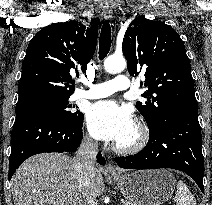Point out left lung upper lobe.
<instances>
[{
	"instance_id": "obj_1",
	"label": "left lung upper lobe",
	"mask_w": 212,
	"mask_h": 205,
	"mask_svg": "<svg viewBox=\"0 0 212 205\" xmlns=\"http://www.w3.org/2000/svg\"><path fill=\"white\" fill-rule=\"evenodd\" d=\"M122 50L130 75L145 73L143 85L148 90L142 97L147 101L137 102L136 108L149 130L174 110L197 106L190 61L183 41L172 27L138 17L125 32Z\"/></svg>"
}]
</instances>
